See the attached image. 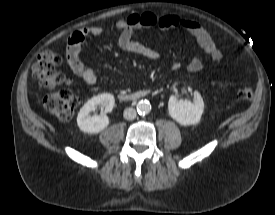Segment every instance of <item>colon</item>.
<instances>
[{"instance_id": "colon-1", "label": "colon", "mask_w": 275, "mask_h": 215, "mask_svg": "<svg viewBox=\"0 0 275 215\" xmlns=\"http://www.w3.org/2000/svg\"><path fill=\"white\" fill-rule=\"evenodd\" d=\"M61 63L58 54L50 51L38 55L33 65L32 73L44 88L52 90L43 98V106L59 120L71 119L79 104V97L75 91L73 82L63 74L56 71V66ZM251 87H243L238 96L242 100H250L253 97Z\"/></svg>"}]
</instances>
